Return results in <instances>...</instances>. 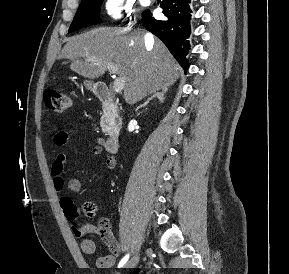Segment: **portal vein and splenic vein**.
Listing matches in <instances>:
<instances>
[{"label":"portal vein and splenic vein","mask_w":289,"mask_h":274,"mask_svg":"<svg viewBox=\"0 0 289 274\" xmlns=\"http://www.w3.org/2000/svg\"><path fill=\"white\" fill-rule=\"evenodd\" d=\"M107 69L110 74H117L118 73V67L113 64H108ZM125 80L121 77H117L113 82V89L115 92L119 93L124 88Z\"/></svg>","instance_id":"1"}]
</instances>
